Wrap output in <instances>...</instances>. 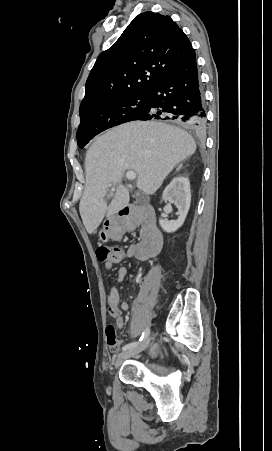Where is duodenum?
Here are the masks:
<instances>
[{"label": "duodenum", "mask_w": 272, "mask_h": 451, "mask_svg": "<svg viewBox=\"0 0 272 451\" xmlns=\"http://www.w3.org/2000/svg\"><path fill=\"white\" fill-rule=\"evenodd\" d=\"M142 227L143 238L141 243L130 249V254L137 259L145 260L157 255L163 245L162 234L159 231L151 206H126L119 212L116 220L107 223V232L113 239L122 238L127 232Z\"/></svg>", "instance_id": "410a0bca"}]
</instances>
